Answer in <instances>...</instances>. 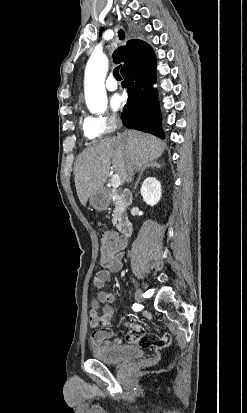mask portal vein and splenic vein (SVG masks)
Here are the masks:
<instances>
[{
    "mask_svg": "<svg viewBox=\"0 0 247 413\" xmlns=\"http://www.w3.org/2000/svg\"><path fill=\"white\" fill-rule=\"evenodd\" d=\"M111 184H112L113 188H118L119 184H121L120 174H112Z\"/></svg>",
    "mask_w": 247,
    "mask_h": 413,
    "instance_id": "18ae733b",
    "label": "portal vein and splenic vein"
}]
</instances>
